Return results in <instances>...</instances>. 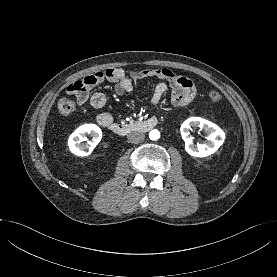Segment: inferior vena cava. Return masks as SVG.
Wrapping results in <instances>:
<instances>
[{"instance_id": "1", "label": "inferior vena cava", "mask_w": 277, "mask_h": 277, "mask_svg": "<svg viewBox=\"0 0 277 277\" xmlns=\"http://www.w3.org/2000/svg\"><path fill=\"white\" fill-rule=\"evenodd\" d=\"M145 138V135L141 132H131L129 135H128V140L129 142L131 143H134V144H137V143H140L141 141H143Z\"/></svg>"}]
</instances>
